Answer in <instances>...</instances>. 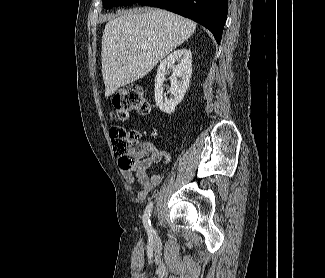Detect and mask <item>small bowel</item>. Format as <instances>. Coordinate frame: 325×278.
Listing matches in <instances>:
<instances>
[{
	"label": "small bowel",
	"instance_id": "c3829d8e",
	"mask_svg": "<svg viewBox=\"0 0 325 278\" xmlns=\"http://www.w3.org/2000/svg\"><path fill=\"white\" fill-rule=\"evenodd\" d=\"M149 156L139 160L133 169H122L121 174L127 182H137L141 189L138 193L140 200H145L155 185L161 181V176L150 172V166L157 163H168L170 155L151 144L147 145Z\"/></svg>",
	"mask_w": 325,
	"mask_h": 278
}]
</instances>
